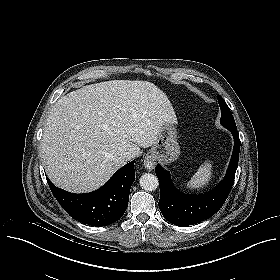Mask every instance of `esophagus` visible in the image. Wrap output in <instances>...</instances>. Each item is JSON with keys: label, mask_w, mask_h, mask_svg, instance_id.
Listing matches in <instances>:
<instances>
[{"label": "esophagus", "mask_w": 280, "mask_h": 280, "mask_svg": "<svg viewBox=\"0 0 280 280\" xmlns=\"http://www.w3.org/2000/svg\"><path fill=\"white\" fill-rule=\"evenodd\" d=\"M155 164H156L155 156L152 153H147L144 158V167L148 171H152L155 167Z\"/></svg>", "instance_id": "esophagus-1"}]
</instances>
